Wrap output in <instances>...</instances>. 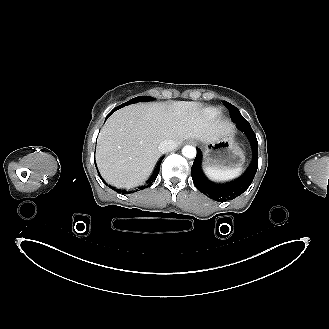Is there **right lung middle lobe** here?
Wrapping results in <instances>:
<instances>
[{"label":"right lung middle lobe","mask_w":329,"mask_h":329,"mask_svg":"<svg viewBox=\"0 0 329 329\" xmlns=\"http://www.w3.org/2000/svg\"><path fill=\"white\" fill-rule=\"evenodd\" d=\"M152 99H153V98H152V97H149V96H138V97H136V98H133V99L129 100L128 102H125V103H123V104L117 106V107L114 108V109L118 110V109H120V108H122V107H124V106L129 105V104H133V103H137V102H142V101H150V100H152Z\"/></svg>","instance_id":"dd1d6c3e"}]
</instances>
